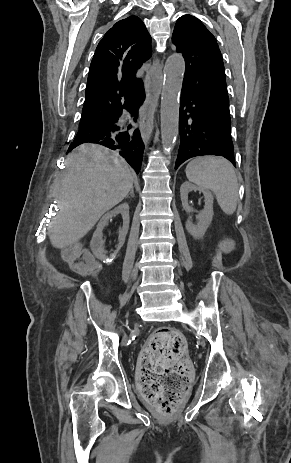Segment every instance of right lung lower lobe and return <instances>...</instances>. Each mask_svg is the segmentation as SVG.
Instances as JSON below:
<instances>
[{
    "mask_svg": "<svg viewBox=\"0 0 291 463\" xmlns=\"http://www.w3.org/2000/svg\"><path fill=\"white\" fill-rule=\"evenodd\" d=\"M143 101L144 89L116 111L95 119L81 120L80 123H88L89 125L79 127L74 141L70 144L69 151L83 143L101 144L119 153L138 173L144 153V143L140 131L133 129L131 125H121L118 120L122 114V109L125 108L136 121L138 109Z\"/></svg>",
    "mask_w": 291,
    "mask_h": 463,
    "instance_id": "right-lung-lower-lobe-1",
    "label": "right lung lower lobe"
}]
</instances>
